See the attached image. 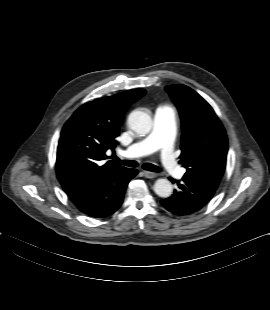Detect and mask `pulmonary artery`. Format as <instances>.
Segmentation results:
<instances>
[{
  "instance_id": "1",
  "label": "pulmonary artery",
  "mask_w": 270,
  "mask_h": 310,
  "mask_svg": "<svg viewBox=\"0 0 270 310\" xmlns=\"http://www.w3.org/2000/svg\"><path fill=\"white\" fill-rule=\"evenodd\" d=\"M176 136V114L168 105H160L154 115L152 131L143 139L130 145L124 155L138 157L161 151V162L173 176L182 177L184 169L176 161L173 144Z\"/></svg>"
}]
</instances>
